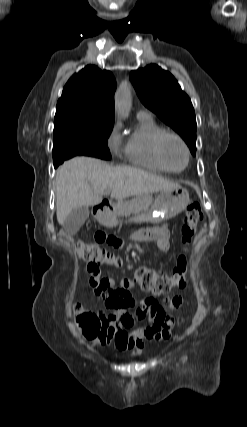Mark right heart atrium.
<instances>
[{
	"instance_id": "1",
	"label": "right heart atrium",
	"mask_w": 247,
	"mask_h": 427,
	"mask_svg": "<svg viewBox=\"0 0 247 427\" xmlns=\"http://www.w3.org/2000/svg\"><path fill=\"white\" fill-rule=\"evenodd\" d=\"M107 145L112 151H117L120 145V124L116 123L107 138Z\"/></svg>"
}]
</instances>
